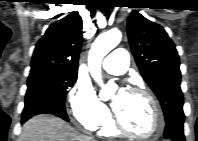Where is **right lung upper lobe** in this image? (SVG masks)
Wrapping results in <instances>:
<instances>
[{"label": "right lung upper lobe", "mask_w": 198, "mask_h": 141, "mask_svg": "<svg viewBox=\"0 0 198 141\" xmlns=\"http://www.w3.org/2000/svg\"><path fill=\"white\" fill-rule=\"evenodd\" d=\"M82 34V19L77 12L50 25L36 44L30 73L39 71L77 73Z\"/></svg>", "instance_id": "1"}]
</instances>
